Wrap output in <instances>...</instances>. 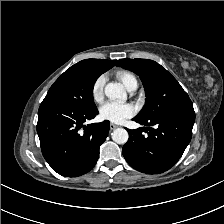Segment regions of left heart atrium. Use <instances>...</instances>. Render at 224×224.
Here are the masks:
<instances>
[{
	"label": "left heart atrium",
	"mask_w": 224,
	"mask_h": 224,
	"mask_svg": "<svg viewBox=\"0 0 224 224\" xmlns=\"http://www.w3.org/2000/svg\"><path fill=\"white\" fill-rule=\"evenodd\" d=\"M135 114V108L129 103L107 102L100 108L103 119L115 123H121Z\"/></svg>",
	"instance_id": "left-heart-atrium-1"
}]
</instances>
